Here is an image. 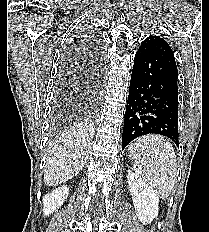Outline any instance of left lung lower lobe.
<instances>
[{"label":"left lung lower lobe","instance_id":"left-lung-lower-lobe-1","mask_svg":"<svg viewBox=\"0 0 209 232\" xmlns=\"http://www.w3.org/2000/svg\"><path fill=\"white\" fill-rule=\"evenodd\" d=\"M178 72L169 44L159 36L141 42L132 70L122 150L132 140L160 134L178 140Z\"/></svg>","mask_w":209,"mask_h":232}]
</instances>
